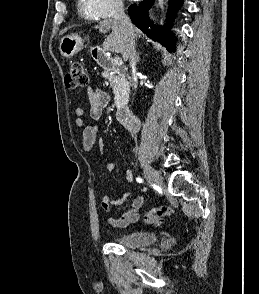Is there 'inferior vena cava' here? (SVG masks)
Wrapping results in <instances>:
<instances>
[{"mask_svg":"<svg viewBox=\"0 0 259 294\" xmlns=\"http://www.w3.org/2000/svg\"><path fill=\"white\" fill-rule=\"evenodd\" d=\"M115 20L120 24V27L125 32L127 39V48L129 55V62L132 70V88L136 90V48H135V31L130 18L125 14L123 4L120 2L117 4L115 9Z\"/></svg>","mask_w":259,"mask_h":294,"instance_id":"1","label":"inferior vena cava"}]
</instances>
